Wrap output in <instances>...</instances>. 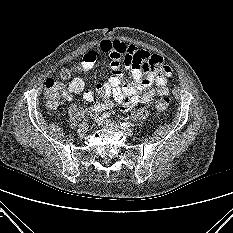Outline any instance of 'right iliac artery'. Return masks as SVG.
<instances>
[{
    "label": "right iliac artery",
    "mask_w": 233,
    "mask_h": 233,
    "mask_svg": "<svg viewBox=\"0 0 233 233\" xmlns=\"http://www.w3.org/2000/svg\"><path fill=\"white\" fill-rule=\"evenodd\" d=\"M104 109H105V106L103 104H98V105L92 106L89 109L83 110L81 112V117L83 118L85 113L100 112V111H103ZM79 120H81V119L79 118Z\"/></svg>",
    "instance_id": "obj_1"
}]
</instances>
